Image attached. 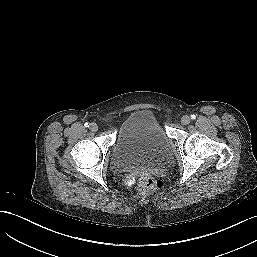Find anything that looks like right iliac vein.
Listing matches in <instances>:
<instances>
[{
	"mask_svg": "<svg viewBox=\"0 0 257 257\" xmlns=\"http://www.w3.org/2000/svg\"><path fill=\"white\" fill-rule=\"evenodd\" d=\"M90 130L93 132L98 131V125L96 123H91L90 124Z\"/></svg>",
	"mask_w": 257,
	"mask_h": 257,
	"instance_id": "63e3f726",
	"label": "right iliac vein"
}]
</instances>
